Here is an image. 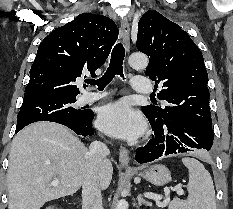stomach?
Instances as JSON below:
<instances>
[{"label":"stomach","instance_id":"1","mask_svg":"<svg viewBox=\"0 0 233 209\" xmlns=\"http://www.w3.org/2000/svg\"><path fill=\"white\" fill-rule=\"evenodd\" d=\"M139 176L156 186H163L171 180V174L167 167L163 165H153Z\"/></svg>","mask_w":233,"mask_h":209}]
</instances>
